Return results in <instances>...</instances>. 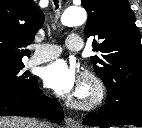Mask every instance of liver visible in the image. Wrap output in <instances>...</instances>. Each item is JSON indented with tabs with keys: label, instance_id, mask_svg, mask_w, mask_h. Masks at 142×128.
I'll return each instance as SVG.
<instances>
[{
	"label": "liver",
	"instance_id": "obj_1",
	"mask_svg": "<svg viewBox=\"0 0 142 128\" xmlns=\"http://www.w3.org/2000/svg\"><path fill=\"white\" fill-rule=\"evenodd\" d=\"M38 123V120L29 117H0V128H38Z\"/></svg>",
	"mask_w": 142,
	"mask_h": 128
}]
</instances>
